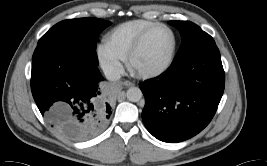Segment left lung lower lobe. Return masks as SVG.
Segmentation results:
<instances>
[{
	"label": "left lung lower lobe",
	"mask_w": 267,
	"mask_h": 166,
	"mask_svg": "<svg viewBox=\"0 0 267 166\" xmlns=\"http://www.w3.org/2000/svg\"><path fill=\"white\" fill-rule=\"evenodd\" d=\"M225 85L216 45L173 62L160 76L139 86L145 96L142 120L158 140L176 143L201 132L213 118Z\"/></svg>",
	"instance_id": "left-lung-lower-lobe-1"
}]
</instances>
